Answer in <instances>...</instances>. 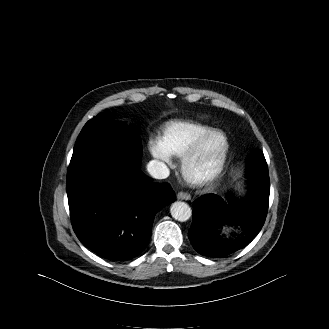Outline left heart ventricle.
<instances>
[{
    "label": "left heart ventricle",
    "instance_id": "1",
    "mask_svg": "<svg viewBox=\"0 0 329 329\" xmlns=\"http://www.w3.org/2000/svg\"><path fill=\"white\" fill-rule=\"evenodd\" d=\"M222 147V136L211 137L191 163L190 173L194 176H203L212 171L219 161Z\"/></svg>",
    "mask_w": 329,
    "mask_h": 329
}]
</instances>
